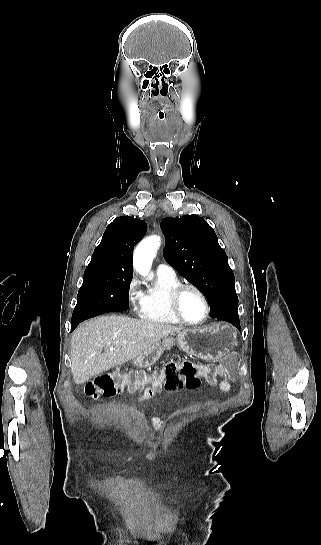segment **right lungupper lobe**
<instances>
[{
  "label": "right lung upper lobe",
  "mask_w": 321,
  "mask_h": 545,
  "mask_svg": "<svg viewBox=\"0 0 321 545\" xmlns=\"http://www.w3.org/2000/svg\"><path fill=\"white\" fill-rule=\"evenodd\" d=\"M147 225L133 217H118L109 224L86 270L133 274L132 251L145 235Z\"/></svg>",
  "instance_id": "obj_1"
}]
</instances>
